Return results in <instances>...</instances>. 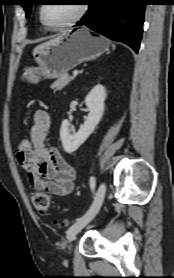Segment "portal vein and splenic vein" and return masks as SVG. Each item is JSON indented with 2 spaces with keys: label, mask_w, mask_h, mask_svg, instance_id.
<instances>
[{
  "label": "portal vein and splenic vein",
  "mask_w": 174,
  "mask_h": 278,
  "mask_svg": "<svg viewBox=\"0 0 174 278\" xmlns=\"http://www.w3.org/2000/svg\"><path fill=\"white\" fill-rule=\"evenodd\" d=\"M78 73H79V72H78L77 70L73 71V76H74V77L77 76Z\"/></svg>",
  "instance_id": "portal-vein-and-splenic-vein-1"
}]
</instances>
